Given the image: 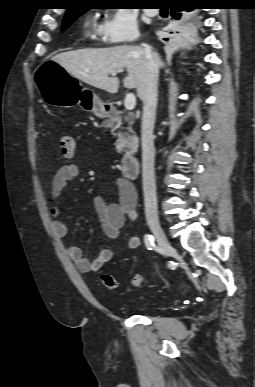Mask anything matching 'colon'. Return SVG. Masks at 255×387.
<instances>
[{"label": "colon", "instance_id": "1", "mask_svg": "<svg viewBox=\"0 0 255 387\" xmlns=\"http://www.w3.org/2000/svg\"><path fill=\"white\" fill-rule=\"evenodd\" d=\"M59 150L61 156L65 159L73 156L75 151V140L71 135L63 134L59 138ZM143 283V277L140 274H135L131 278V284L134 287H139ZM100 284L107 289L114 290L118 287L117 279L111 274H102Z\"/></svg>", "mask_w": 255, "mask_h": 387}]
</instances>
